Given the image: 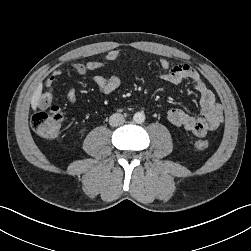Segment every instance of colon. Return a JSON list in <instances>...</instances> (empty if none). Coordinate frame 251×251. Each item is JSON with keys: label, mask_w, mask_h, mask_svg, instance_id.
I'll return each mask as SVG.
<instances>
[{"label": "colon", "mask_w": 251, "mask_h": 251, "mask_svg": "<svg viewBox=\"0 0 251 251\" xmlns=\"http://www.w3.org/2000/svg\"><path fill=\"white\" fill-rule=\"evenodd\" d=\"M63 115L60 108L56 105L51 106L48 110L36 112L31 119L33 130L41 137L53 139L59 136L62 130ZM199 150H205L209 147L206 140H199L195 143Z\"/></svg>", "instance_id": "obj_1"}]
</instances>
